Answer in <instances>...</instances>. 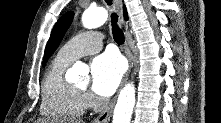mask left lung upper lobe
I'll list each match as a JSON object with an SVG mask.
<instances>
[{
	"instance_id": "obj_1",
	"label": "left lung upper lobe",
	"mask_w": 221,
	"mask_h": 123,
	"mask_svg": "<svg viewBox=\"0 0 221 123\" xmlns=\"http://www.w3.org/2000/svg\"><path fill=\"white\" fill-rule=\"evenodd\" d=\"M73 16H74V13L72 11L67 12L55 24L52 30V33L50 35V38L47 42L46 48H45L43 66L45 65L49 57L55 52V50L59 46L67 29L72 23Z\"/></svg>"
}]
</instances>
